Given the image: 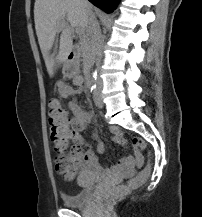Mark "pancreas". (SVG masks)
<instances>
[{
    "mask_svg": "<svg viewBox=\"0 0 202 217\" xmlns=\"http://www.w3.org/2000/svg\"><path fill=\"white\" fill-rule=\"evenodd\" d=\"M79 51L81 52L83 63L87 65L90 63L92 56H93V48L90 35L88 32H83L80 34V41H79Z\"/></svg>",
    "mask_w": 202,
    "mask_h": 217,
    "instance_id": "cf45deb5",
    "label": "pancreas"
}]
</instances>
